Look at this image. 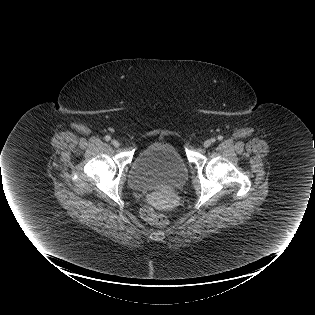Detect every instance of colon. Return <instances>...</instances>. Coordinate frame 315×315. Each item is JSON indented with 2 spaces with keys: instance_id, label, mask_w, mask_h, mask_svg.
Returning <instances> with one entry per match:
<instances>
[{
  "instance_id": "colon-1",
  "label": "colon",
  "mask_w": 315,
  "mask_h": 315,
  "mask_svg": "<svg viewBox=\"0 0 315 315\" xmlns=\"http://www.w3.org/2000/svg\"><path fill=\"white\" fill-rule=\"evenodd\" d=\"M142 217L149 223L163 227L167 224V218L162 213L156 211L152 206L145 205L141 210Z\"/></svg>"
}]
</instances>
